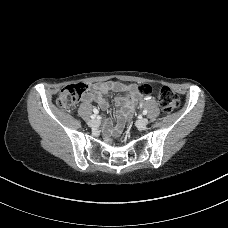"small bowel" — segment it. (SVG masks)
<instances>
[{"mask_svg": "<svg viewBox=\"0 0 228 228\" xmlns=\"http://www.w3.org/2000/svg\"><path fill=\"white\" fill-rule=\"evenodd\" d=\"M111 92L125 93V95H117L114 98V102L118 106V122L115 128L112 127L110 121L105 123L104 132L107 135L119 134L122 131L127 117L133 112L137 102L141 98V94L138 92V86L135 84L106 81L94 83L91 86V91L83 97V101L85 103L96 102L101 109L106 110L109 107L107 96ZM149 100H151L150 96L144 97V101Z\"/></svg>", "mask_w": 228, "mask_h": 228, "instance_id": "small-bowel-1", "label": "small bowel"}]
</instances>
